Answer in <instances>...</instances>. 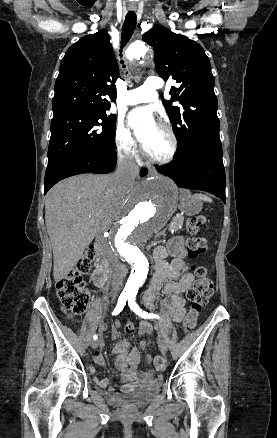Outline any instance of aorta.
<instances>
[{
    "label": "aorta",
    "mask_w": 277,
    "mask_h": 438,
    "mask_svg": "<svg viewBox=\"0 0 277 438\" xmlns=\"http://www.w3.org/2000/svg\"><path fill=\"white\" fill-rule=\"evenodd\" d=\"M146 53L147 47L136 42L127 48L126 56L130 60H137ZM175 207V185L163 176L143 181L130 193L124 210L109 232L113 250L132 267L125 293L136 294L143 285L149 263L142 247L166 225Z\"/></svg>",
    "instance_id": "obj_1"
}]
</instances>
